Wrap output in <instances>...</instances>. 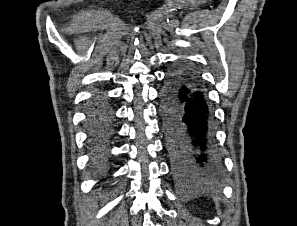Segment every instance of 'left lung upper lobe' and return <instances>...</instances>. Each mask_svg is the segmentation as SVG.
Wrapping results in <instances>:
<instances>
[{"mask_svg":"<svg viewBox=\"0 0 297 226\" xmlns=\"http://www.w3.org/2000/svg\"><path fill=\"white\" fill-rule=\"evenodd\" d=\"M182 72H183V74L189 76V78H190L195 84L199 85V84H198V81H197V78H196V75H195L192 71H190L189 69H186V68H182Z\"/></svg>","mask_w":297,"mask_h":226,"instance_id":"left-lung-upper-lobe-1","label":"left lung upper lobe"}]
</instances>
